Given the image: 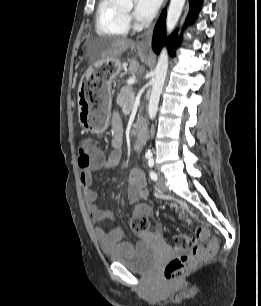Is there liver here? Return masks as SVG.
I'll list each match as a JSON object with an SVG mask.
<instances>
[{
	"instance_id": "liver-1",
	"label": "liver",
	"mask_w": 261,
	"mask_h": 306,
	"mask_svg": "<svg viewBox=\"0 0 261 306\" xmlns=\"http://www.w3.org/2000/svg\"><path fill=\"white\" fill-rule=\"evenodd\" d=\"M134 48L135 43L130 39H113L110 41H107L104 44V49L102 50L100 54V59H112L115 57L120 56L124 51H126L128 48ZM140 65L137 60H132L129 65V73L134 75L139 71Z\"/></svg>"
}]
</instances>
